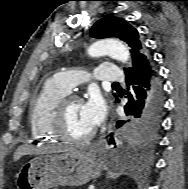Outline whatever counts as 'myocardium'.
<instances>
[{
	"instance_id": "f54148a6",
	"label": "myocardium",
	"mask_w": 188,
	"mask_h": 189,
	"mask_svg": "<svg viewBox=\"0 0 188 189\" xmlns=\"http://www.w3.org/2000/svg\"><path fill=\"white\" fill-rule=\"evenodd\" d=\"M73 102H83L78 95L68 93L63 96L56 104L50 120V129L58 139L70 144H83L92 140L95 135V130L92 129L89 133L82 137H74L67 133L65 129V117L68 106Z\"/></svg>"
}]
</instances>
